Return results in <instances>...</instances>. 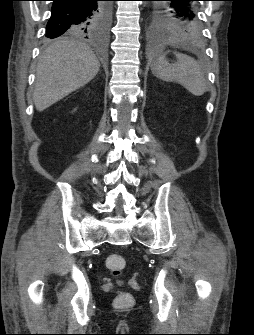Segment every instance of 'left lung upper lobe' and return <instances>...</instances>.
Here are the masks:
<instances>
[{"label": "left lung upper lobe", "mask_w": 254, "mask_h": 335, "mask_svg": "<svg viewBox=\"0 0 254 335\" xmlns=\"http://www.w3.org/2000/svg\"><path fill=\"white\" fill-rule=\"evenodd\" d=\"M149 28L153 33H197L200 29L198 0H147Z\"/></svg>", "instance_id": "obj_1"}]
</instances>
